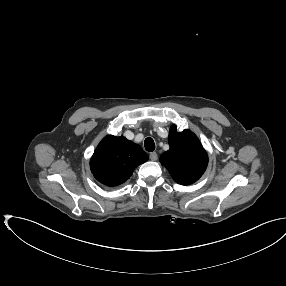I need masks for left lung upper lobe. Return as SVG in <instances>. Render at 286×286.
Here are the masks:
<instances>
[{
    "label": "left lung upper lobe",
    "mask_w": 286,
    "mask_h": 286,
    "mask_svg": "<svg viewBox=\"0 0 286 286\" xmlns=\"http://www.w3.org/2000/svg\"><path fill=\"white\" fill-rule=\"evenodd\" d=\"M168 140L170 149L160 156L161 164L178 184L196 182L208 164V155L199 139L190 130L177 132L176 126H172Z\"/></svg>",
    "instance_id": "1"
}]
</instances>
